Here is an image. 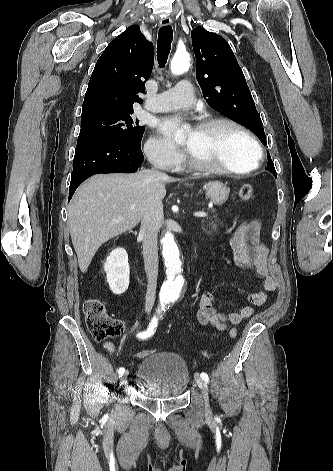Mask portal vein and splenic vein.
Returning a JSON list of instances; mask_svg holds the SVG:
<instances>
[{
	"instance_id": "obj_1",
	"label": "portal vein and splenic vein",
	"mask_w": 333,
	"mask_h": 471,
	"mask_svg": "<svg viewBox=\"0 0 333 471\" xmlns=\"http://www.w3.org/2000/svg\"><path fill=\"white\" fill-rule=\"evenodd\" d=\"M194 216L198 217V218H204V217H207V213L206 212H195Z\"/></svg>"
}]
</instances>
